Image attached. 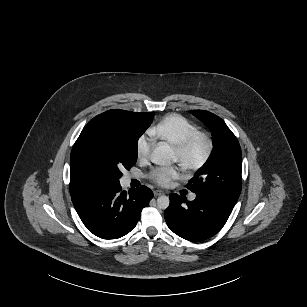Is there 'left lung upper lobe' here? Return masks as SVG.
<instances>
[{"label":"left lung upper lobe","mask_w":307,"mask_h":307,"mask_svg":"<svg viewBox=\"0 0 307 307\" xmlns=\"http://www.w3.org/2000/svg\"><path fill=\"white\" fill-rule=\"evenodd\" d=\"M192 113L212 132L213 150L187 188L198 196L234 206L241 192L242 153L239 142L225 122L213 113Z\"/></svg>","instance_id":"left-lung-upper-lobe-1"}]
</instances>
